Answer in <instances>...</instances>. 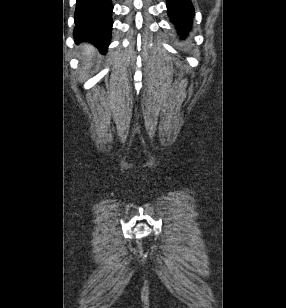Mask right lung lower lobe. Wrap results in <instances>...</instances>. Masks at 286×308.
<instances>
[{"label":"right lung lower lobe","mask_w":286,"mask_h":308,"mask_svg":"<svg viewBox=\"0 0 286 308\" xmlns=\"http://www.w3.org/2000/svg\"><path fill=\"white\" fill-rule=\"evenodd\" d=\"M112 10L110 0H77L75 41H89L105 53L111 39Z\"/></svg>","instance_id":"1"}]
</instances>
